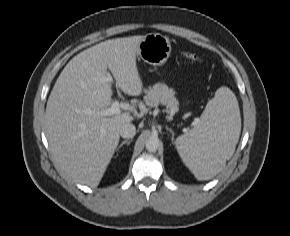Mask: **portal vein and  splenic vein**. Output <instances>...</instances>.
<instances>
[{
    "label": "portal vein and splenic vein",
    "mask_w": 290,
    "mask_h": 236,
    "mask_svg": "<svg viewBox=\"0 0 290 236\" xmlns=\"http://www.w3.org/2000/svg\"><path fill=\"white\" fill-rule=\"evenodd\" d=\"M107 80L110 82L113 81L111 76H108ZM120 108H121V104L119 103V101L115 100L112 102V104L109 108H106V109L101 111V115L102 116H112L115 114H119Z\"/></svg>",
    "instance_id": "1"
}]
</instances>
